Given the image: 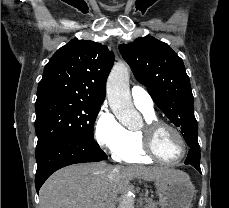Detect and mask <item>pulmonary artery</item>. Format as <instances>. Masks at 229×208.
<instances>
[{
	"instance_id": "pulmonary-artery-1",
	"label": "pulmonary artery",
	"mask_w": 229,
	"mask_h": 208,
	"mask_svg": "<svg viewBox=\"0 0 229 208\" xmlns=\"http://www.w3.org/2000/svg\"><path fill=\"white\" fill-rule=\"evenodd\" d=\"M131 96L137 109L148 113H154V103L149 93L141 86L131 89Z\"/></svg>"
}]
</instances>
